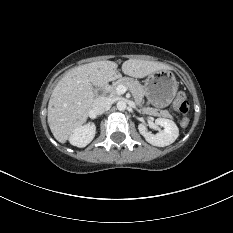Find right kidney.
I'll return each mask as SVG.
<instances>
[{"mask_svg":"<svg viewBox=\"0 0 233 233\" xmlns=\"http://www.w3.org/2000/svg\"><path fill=\"white\" fill-rule=\"evenodd\" d=\"M95 133L96 126L94 123L90 122L75 129L70 135L69 141L73 146L82 148L87 146L93 140Z\"/></svg>","mask_w":233,"mask_h":233,"instance_id":"obj_1","label":"right kidney"}]
</instances>
